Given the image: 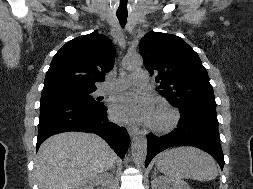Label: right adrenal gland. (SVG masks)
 Segmentation results:
<instances>
[{
  "label": "right adrenal gland",
  "instance_id": "2a0ac1e0",
  "mask_svg": "<svg viewBox=\"0 0 253 189\" xmlns=\"http://www.w3.org/2000/svg\"><path fill=\"white\" fill-rule=\"evenodd\" d=\"M109 170H112L113 173L115 172V166H113L112 168H110Z\"/></svg>",
  "mask_w": 253,
  "mask_h": 189
}]
</instances>
